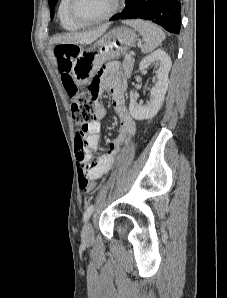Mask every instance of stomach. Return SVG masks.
Instances as JSON below:
<instances>
[{"instance_id": "0dacf381", "label": "stomach", "mask_w": 227, "mask_h": 298, "mask_svg": "<svg viewBox=\"0 0 227 298\" xmlns=\"http://www.w3.org/2000/svg\"><path fill=\"white\" fill-rule=\"evenodd\" d=\"M134 30L122 26L106 33L92 46L82 49L72 62V76L78 85H86L101 63L119 58L136 42Z\"/></svg>"}]
</instances>
